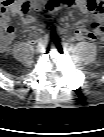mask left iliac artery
<instances>
[{
    "instance_id": "obj_1",
    "label": "left iliac artery",
    "mask_w": 104,
    "mask_h": 137,
    "mask_svg": "<svg viewBox=\"0 0 104 137\" xmlns=\"http://www.w3.org/2000/svg\"><path fill=\"white\" fill-rule=\"evenodd\" d=\"M62 47H63L64 50H67L69 48L68 43L63 42Z\"/></svg>"
}]
</instances>
